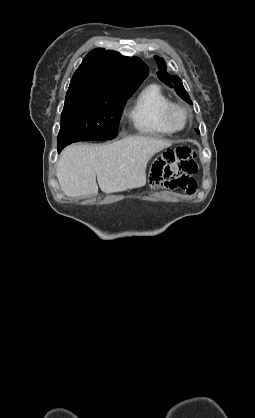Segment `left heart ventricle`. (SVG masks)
I'll return each instance as SVG.
<instances>
[{"label": "left heart ventricle", "instance_id": "1", "mask_svg": "<svg viewBox=\"0 0 255 418\" xmlns=\"http://www.w3.org/2000/svg\"><path fill=\"white\" fill-rule=\"evenodd\" d=\"M185 122V115L181 110H176L173 114V123L177 126V127H181L183 126Z\"/></svg>", "mask_w": 255, "mask_h": 418}]
</instances>
